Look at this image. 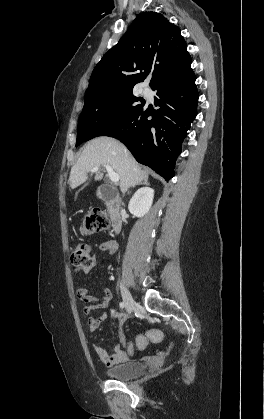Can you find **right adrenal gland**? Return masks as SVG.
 Returning a JSON list of instances; mask_svg holds the SVG:
<instances>
[{
	"label": "right adrenal gland",
	"instance_id": "2a0ac1e0",
	"mask_svg": "<svg viewBox=\"0 0 264 419\" xmlns=\"http://www.w3.org/2000/svg\"><path fill=\"white\" fill-rule=\"evenodd\" d=\"M141 184H143V185H149V183H148V180H143L142 182H140V183H138V184H136V185H141ZM135 185V186H136ZM134 186V187H135ZM128 194H129V192H128Z\"/></svg>",
	"mask_w": 264,
	"mask_h": 419
}]
</instances>
